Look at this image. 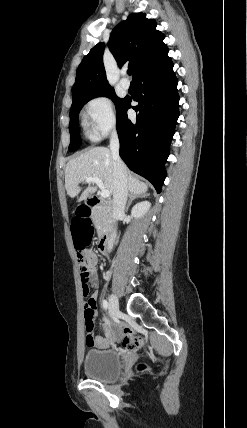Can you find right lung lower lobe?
<instances>
[{"label": "right lung lower lobe", "instance_id": "obj_1", "mask_svg": "<svg viewBox=\"0 0 247 428\" xmlns=\"http://www.w3.org/2000/svg\"><path fill=\"white\" fill-rule=\"evenodd\" d=\"M134 82L137 93L133 100L139 102L132 107L138 113L136 120L127 115L131 98H124L117 112L120 157L160 193L166 177L164 164L179 116L178 81L171 58L166 56L140 73Z\"/></svg>", "mask_w": 247, "mask_h": 428}]
</instances>
